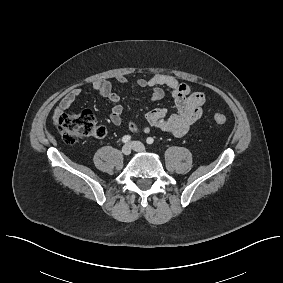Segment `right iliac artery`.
Masks as SVG:
<instances>
[{
	"instance_id": "82829eb1",
	"label": "right iliac artery",
	"mask_w": 283,
	"mask_h": 283,
	"mask_svg": "<svg viewBox=\"0 0 283 283\" xmlns=\"http://www.w3.org/2000/svg\"><path fill=\"white\" fill-rule=\"evenodd\" d=\"M130 139H131V136L125 135V136L122 138V142H123V143H128V142L130 141Z\"/></svg>"
}]
</instances>
